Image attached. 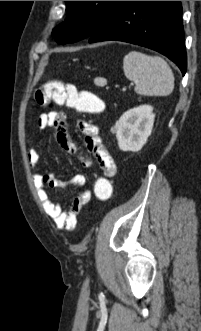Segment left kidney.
Returning <instances> with one entry per match:
<instances>
[{"mask_svg":"<svg viewBox=\"0 0 201 331\" xmlns=\"http://www.w3.org/2000/svg\"><path fill=\"white\" fill-rule=\"evenodd\" d=\"M150 105L126 111L116 122L114 131L122 151L138 152L146 144L154 124L155 114Z\"/></svg>","mask_w":201,"mask_h":331,"instance_id":"5707ae66","label":"left kidney"}]
</instances>
